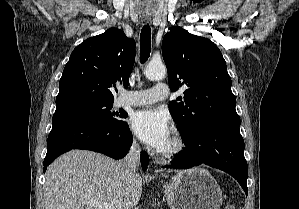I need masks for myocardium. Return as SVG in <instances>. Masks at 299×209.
Listing matches in <instances>:
<instances>
[{"label": "myocardium", "instance_id": "obj_1", "mask_svg": "<svg viewBox=\"0 0 299 209\" xmlns=\"http://www.w3.org/2000/svg\"><path fill=\"white\" fill-rule=\"evenodd\" d=\"M186 149V140L177 130L171 135V144L166 149H158L157 154L163 160H171L181 155Z\"/></svg>", "mask_w": 299, "mask_h": 209}]
</instances>
